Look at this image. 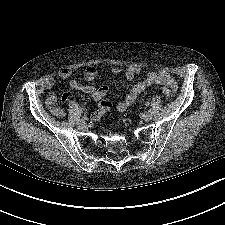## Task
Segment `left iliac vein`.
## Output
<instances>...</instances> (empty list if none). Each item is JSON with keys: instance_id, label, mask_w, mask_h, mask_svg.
Instances as JSON below:
<instances>
[{"instance_id": "1", "label": "left iliac vein", "mask_w": 225, "mask_h": 225, "mask_svg": "<svg viewBox=\"0 0 225 225\" xmlns=\"http://www.w3.org/2000/svg\"><path fill=\"white\" fill-rule=\"evenodd\" d=\"M152 118H153V114L152 113H147V114H145L144 116H143V119L145 120V121H150V120H152Z\"/></svg>"}]
</instances>
